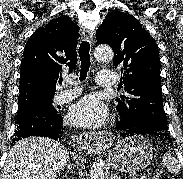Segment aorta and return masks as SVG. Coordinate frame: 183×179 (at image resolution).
Instances as JSON below:
<instances>
[{
    "mask_svg": "<svg viewBox=\"0 0 183 179\" xmlns=\"http://www.w3.org/2000/svg\"><path fill=\"white\" fill-rule=\"evenodd\" d=\"M97 60L100 61H110L113 59L114 53L113 50L109 46H98L95 49L94 53ZM104 163L101 158L97 159L96 162L93 163L91 171H90V179H105Z\"/></svg>",
    "mask_w": 183,
    "mask_h": 179,
    "instance_id": "1",
    "label": "aorta"
}]
</instances>
